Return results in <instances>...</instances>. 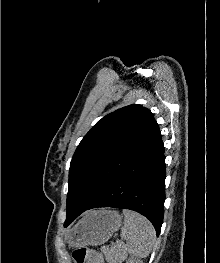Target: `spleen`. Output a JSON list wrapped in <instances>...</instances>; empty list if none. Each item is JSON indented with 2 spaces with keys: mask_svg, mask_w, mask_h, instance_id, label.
<instances>
[{
  "mask_svg": "<svg viewBox=\"0 0 220 263\" xmlns=\"http://www.w3.org/2000/svg\"><path fill=\"white\" fill-rule=\"evenodd\" d=\"M124 225L121 228V238L126 244H118L119 250L135 258H145L151 252L155 242V230L152 224L140 214L123 210Z\"/></svg>",
  "mask_w": 220,
  "mask_h": 263,
  "instance_id": "3e777b00",
  "label": "spleen"
}]
</instances>
